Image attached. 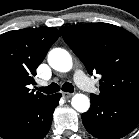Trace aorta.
I'll return each mask as SVG.
<instances>
[{"instance_id":"obj_1","label":"aorta","mask_w":139,"mask_h":139,"mask_svg":"<svg viewBox=\"0 0 139 139\" xmlns=\"http://www.w3.org/2000/svg\"><path fill=\"white\" fill-rule=\"evenodd\" d=\"M48 63L56 71L68 72L72 68V57L68 51L62 48L52 49L48 53ZM72 107L80 112H87L90 108V100L84 94H75L71 100Z\"/></svg>"}]
</instances>
